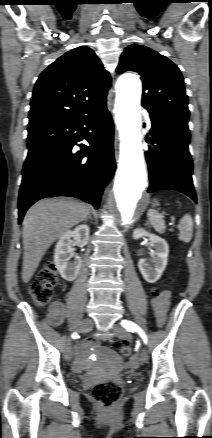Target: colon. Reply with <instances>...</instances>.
I'll return each instance as SVG.
<instances>
[{
	"instance_id": "5ec220e1",
	"label": "colon",
	"mask_w": 212,
	"mask_h": 438,
	"mask_svg": "<svg viewBox=\"0 0 212 438\" xmlns=\"http://www.w3.org/2000/svg\"><path fill=\"white\" fill-rule=\"evenodd\" d=\"M58 272L53 263L45 265L39 272L36 281L32 282L28 288V294L33 302L38 306H44L50 302L54 288L58 284ZM161 292L154 290L153 297H157ZM114 346L119 349L123 356H129L131 347L123 342L116 341ZM90 394L94 400L106 408L112 407L122 396L121 385L109 379L98 383L92 387Z\"/></svg>"
}]
</instances>
